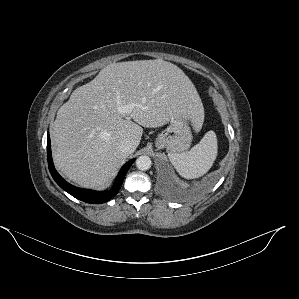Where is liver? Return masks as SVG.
I'll use <instances>...</instances> for the list:
<instances>
[{
  "instance_id": "1",
  "label": "liver",
  "mask_w": 299,
  "mask_h": 299,
  "mask_svg": "<svg viewBox=\"0 0 299 299\" xmlns=\"http://www.w3.org/2000/svg\"><path fill=\"white\" fill-rule=\"evenodd\" d=\"M118 103L134 108L123 114ZM182 112L191 115L198 132L203 104L176 65L161 59L109 64L59 108L51 127L54 164L81 187L103 186L129 156L119 147L123 139H133L138 146L142 127L163 126Z\"/></svg>"
}]
</instances>
